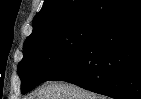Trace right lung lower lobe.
Here are the masks:
<instances>
[{
	"mask_svg": "<svg viewBox=\"0 0 141 99\" xmlns=\"http://www.w3.org/2000/svg\"><path fill=\"white\" fill-rule=\"evenodd\" d=\"M48 80L115 99H141V0L101 20L85 47Z\"/></svg>",
	"mask_w": 141,
	"mask_h": 99,
	"instance_id": "98d812e1",
	"label": "right lung lower lobe"
}]
</instances>
